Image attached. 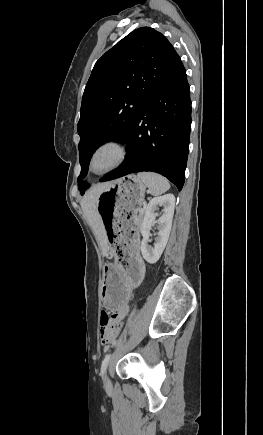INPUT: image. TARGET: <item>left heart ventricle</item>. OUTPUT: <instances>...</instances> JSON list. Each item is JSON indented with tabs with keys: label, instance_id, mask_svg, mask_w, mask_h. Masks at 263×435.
<instances>
[{
	"label": "left heart ventricle",
	"instance_id": "obj_1",
	"mask_svg": "<svg viewBox=\"0 0 263 435\" xmlns=\"http://www.w3.org/2000/svg\"><path fill=\"white\" fill-rule=\"evenodd\" d=\"M117 159V152L113 148L101 150L93 161V170L96 172L103 171L111 166Z\"/></svg>",
	"mask_w": 263,
	"mask_h": 435
}]
</instances>
